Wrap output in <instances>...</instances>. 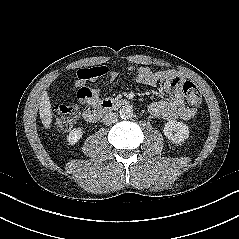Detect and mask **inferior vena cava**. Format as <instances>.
<instances>
[{"label":"inferior vena cava","instance_id":"1","mask_svg":"<svg viewBox=\"0 0 239 239\" xmlns=\"http://www.w3.org/2000/svg\"><path fill=\"white\" fill-rule=\"evenodd\" d=\"M117 120H118V114L112 111L107 112L102 118V121L105 125H111L113 123H116Z\"/></svg>","mask_w":239,"mask_h":239}]
</instances>
